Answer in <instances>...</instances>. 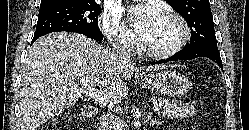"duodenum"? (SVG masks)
<instances>
[{
	"mask_svg": "<svg viewBox=\"0 0 249 130\" xmlns=\"http://www.w3.org/2000/svg\"><path fill=\"white\" fill-rule=\"evenodd\" d=\"M96 114V109L94 107H88L83 112V118L85 121L90 120Z\"/></svg>",
	"mask_w": 249,
	"mask_h": 130,
	"instance_id": "410a0bca",
	"label": "duodenum"
}]
</instances>
